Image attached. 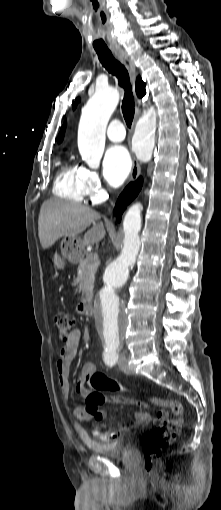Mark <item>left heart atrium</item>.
<instances>
[{
  "label": "left heart atrium",
  "mask_w": 221,
  "mask_h": 510,
  "mask_svg": "<svg viewBox=\"0 0 221 510\" xmlns=\"http://www.w3.org/2000/svg\"><path fill=\"white\" fill-rule=\"evenodd\" d=\"M131 170V158L124 146L113 145L107 149L103 160V172L107 182L117 187L127 178Z\"/></svg>",
  "instance_id": "left-heart-atrium-1"
}]
</instances>
